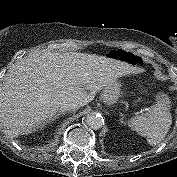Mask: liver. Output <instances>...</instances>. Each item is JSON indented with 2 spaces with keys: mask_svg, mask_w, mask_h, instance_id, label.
I'll list each match as a JSON object with an SVG mask.
<instances>
[{
  "mask_svg": "<svg viewBox=\"0 0 177 177\" xmlns=\"http://www.w3.org/2000/svg\"><path fill=\"white\" fill-rule=\"evenodd\" d=\"M141 72L127 62L95 54H29L17 60L4 77L0 122L11 138L32 133L47 124L61 104L85 106L118 78Z\"/></svg>",
  "mask_w": 177,
  "mask_h": 177,
  "instance_id": "liver-1",
  "label": "liver"
}]
</instances>
